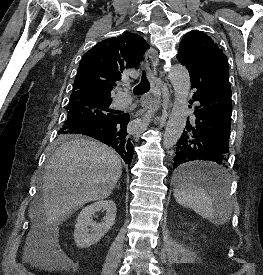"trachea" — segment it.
Instances as JSON below:
<instances>
[{"instance_id": "obj_1", "label": "trachea", "mask_w": 263, "mask_h": 275, "mask_svg": "<svg viewBox=\"0 0 263 275\" xmlns=\"http://www.w3.org/2000/svg\"><path fill=\"white\" fill-rule=\"evenodd\" d=\"M149 89H150V83L146 77V74L143 72L141 81L136 87H134L133 92L135 95H142L148 92Z\"/></svg>"}]
</instances>
